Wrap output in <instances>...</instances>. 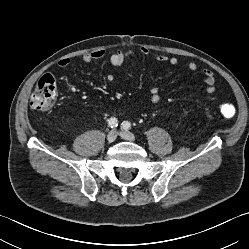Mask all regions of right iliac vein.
I'll use <instances>...</instances> for the list:
<instances>
[{
	"label": "right iliac vein",
	"mask_w": 249,
	"mask_h": 249,
	"mask_svg": "<svg viewBox=\"0 0 249 249\" xmlns=\"http://www.w3.org/2000/svg\"><path fill=\"white\" fill-rule=\"evenodd\" d=\"M117 138V131L116 130H111L108 134H107V141L109 143H113Z\"/></svg>",
	"instance_id": "63e3f726"
}]
</instances>
